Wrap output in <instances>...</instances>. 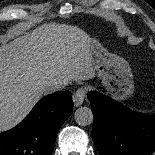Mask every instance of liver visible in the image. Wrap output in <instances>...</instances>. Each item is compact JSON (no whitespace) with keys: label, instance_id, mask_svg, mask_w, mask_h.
Instances as JSON below:
<instances>
[{"label":"liver","instance_id":"liver-1","mask_svg":"<svg viewBox=\"0 0 155 155\" xmlns=\"http://www.w3.org/2000/svg\"><path fill=\"white\" fill-rule=\"evenodd\" d=\"M88 40L77 26L50 23L0 46V132L18 124L50 82L98 76Z\"/></svg>","mask_w":155,"mask_h":155}]
</instances>
